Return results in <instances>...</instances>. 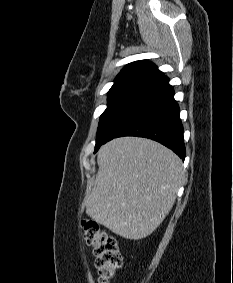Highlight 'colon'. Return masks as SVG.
<instances>
[{
    "label": "colon",
    "mask_w": 233,
    "mask_h": 283,
    "mask_svg": "<svg viewBox=\"0 0 233 283\" xmlns=\"http://www.w3.org/2000/svg\"><path fill=\"white\" fill-rule=\"evenodd\" d=\"M81 228L85 241L93 248L99 283H109L122 265V256L116 239L92 220L82 221Z\"/></svg>",
    "instance_id": "obj_1"
}]
</instances>
